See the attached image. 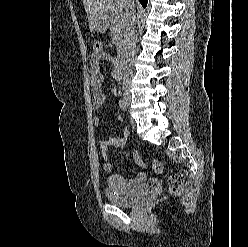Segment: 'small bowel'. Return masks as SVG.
Wrapping results in <instances>:
<instances>
[{
	"label": "small bowel",
	"mask_w": 248,
	"mask_h": 247,
	"mask_svg": "<svg viewBox=\"0 0 248 247\" xmlns=\"http://www.w3.org/2000/svg\"><path fill=\"white\" fill-rule=\"evenodd\" d=\"M101 61H109L115 63V59L110 56L109 54L105 53L103 50L100 52H93L91 59H90V80H91V92L93 95V100L91 103V107L93 110H98L102 107L105 101V94L103 92V83H104V76L101 73L100 62ZM113 74H117V69L114 68ZM118 120H121V117L118 116ZM102 120L100 117L96 116L94 118V124L96 126H100ZM129 131L127 128H124L121 134L117 137L103 139L99 142L100 149L103 152V157L106 159V151L110 148H122L125 145V142L128 138ZM104 169L107 172H111L114 169V166L106 161L104 164ZM120 183L124 188L134 187L146 180V174L144 172H140L134 178L130 180H125L121 176Z\"/></svg>",
	"instance_id": "small-bowel-1"
}]
</instances>
